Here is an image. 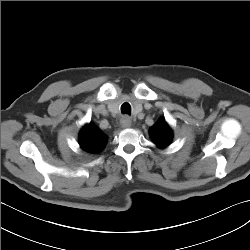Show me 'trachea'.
Returning a JSON list of instances; mask_svg holds the SVG:
<instances>
[{"label":"trachea","instance_id":"3493384b","mask_svg":"<svg viewBox=\"0 0 250 250\" xmlns=\"http://www.w3.org/2000/svg\"><path fill=\"white\" fill-rule=\"evenodd\" d=\"M121 113L131 114V106L128 103H123L121 106Z\"/></svg>","mask_w":250,"mask_h":250}]
</instances>
